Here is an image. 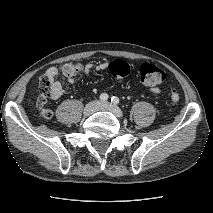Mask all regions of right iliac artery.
I'll list each match as a JSON object with an SVG mask.
<instances>
[{"instance_id":"obj_1","label":"right iliac artery","mask_w":213,"mask_h":213,"mask_svg":"<svg viewBox=\"0 0 213 213\" xmlns=\"http://www.w3.org/2000/svg\"><path fill=\"white\" fill-rule=\"evenodd\" d=\"M99 98L102 102H106L108 100V94L102 93Z\"/></svg>"}]
</instances>
